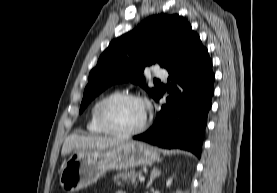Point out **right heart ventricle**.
I'll use <instances>...</instances> for the list:
<instances>
[{"instance_id":"1","label":"right heart ventricle","mask_w":277,"mask_h":193,"mask_svg":"<svg viewBox=\"0 0 277 193\" xmlns=\"http://www.w3.org/2000/svg\"><path fill=\"white\" fill-rule=\"evenodd\" d=\"M117 92H111L108 93L102 97H100L99 99H97L93 105L91 106L90 112H89V118H88V122L86 125L87 130L92 133V134H104L105 132L100 128V126L97 123L96 120V110L98 105L100 104V102L105 99L106 97H109L111 95L116 94Z\"/></svg>"}]
</instances>
